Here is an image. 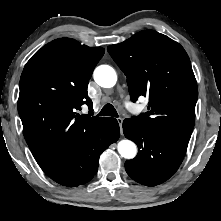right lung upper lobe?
I'll list each match as a JSON object with an SVG mask.
<instances>
[{"label": "right lung upper lobe", "instance_id": "cb5924a9", "mask_svg": "<svg viewBox=\"0 0 221 221\" xmlns=\"http://www.w3.org/2000/svg\"><path fill=\"white\" fill-rule=\"evenodd\" d=\"M70 38L56 39L37 51L20 78L18 112L26 142L41 168L86 138L102 117L76 114L92 108L87 86L104 54Z\"/></svg>", "mask_w": 221, "mask_h": 221}]
</instances>
